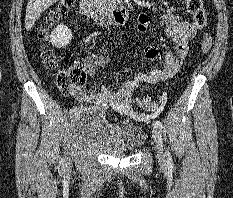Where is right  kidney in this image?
<instances>
[{
	"mask_svg": "<svg viewBox=\"0 0 233 198\" xmlns=\"http://www.w3.org/2000/svg\"><path fill=\"white\" fill-rule=\"evenodd\" d=\"M72 39V31L67 26L58 25L50 35V42L57 48L67 46Z\"/></svg>",
	"mask_w": 233,
	"mask_h": 198,
	"instance_id": "1",
	"label": "right kidney"
}]
</instances>
